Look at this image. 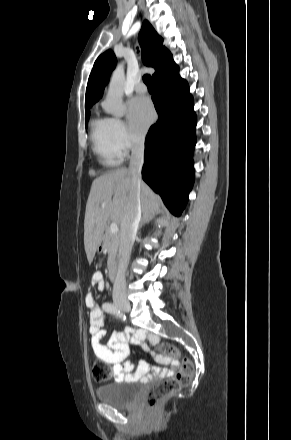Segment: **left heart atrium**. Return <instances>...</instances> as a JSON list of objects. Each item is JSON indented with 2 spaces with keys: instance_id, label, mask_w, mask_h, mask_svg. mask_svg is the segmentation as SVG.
I'll return each instance as SVG.
<instances>
[{
  "instance_id": "39dd6f15",
  "label": "left heart atrium",
  "mask_w": 291,
  "mask_h": 440,
  "mask_svg": "<svg viewBox=\"0 0 291 440\" xmlns=\"http://www.w3.org/2000/svg\"><path fill=\"white\" fill-rule=\"evenodd\" d=\"M128 110L131 127L137 133L145 132L155 117L151 102L144 97L132 99L128 104Z\"/></svg>"
}]
</instances>
